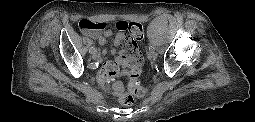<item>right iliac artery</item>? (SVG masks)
<instances>
[{
    "label": "right iliac artery",
    "mask_w": 255,
    "mask_h": 122,
    "mask_svg": "<svg viewBox=\"0 0 255 122\" xmlns=\"http://www.w3.org/2000/svg\"><path fill=\"white\" fill-rule=\"evenodd\" d=\"M94 49H95V47L92 46L89 51L92 52Z\"/></svg>",
    "instance_id": "1"
}]
</instances>
